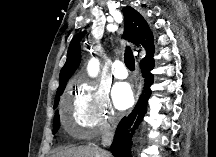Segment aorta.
<instances>
[{
	"label": "aorta",
	"mask_w": 216,
	"mask_h": 157,
	"mask_svg": "<svg viewBox=\"0 0 216 157\" xmlns=\"http://www.w3.org/2000/svg\"><path fill=\"white\" fill-rule=\"evenodd\" d=\"M99 71V61L96 58H92L88 64L89 75L94 77Z\"/></svg>",
	"instance_id": "aorta-1"
}]
</instances>
